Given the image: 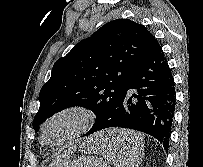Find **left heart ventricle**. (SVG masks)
I'll return each instance as SVG.
<instances>
[{
	"mask_svg": "<svg viewBox=\"0 0 203 167\" xmlns=\"http://www.w3.org/2000/svg\"><path fill=\"white\" fill-rule=\"evenodd\" d=\"M73 121L71 118H63L57 121L50 129L48 137L54 141L63 136L71 127Z\"/></svg>",
	"mask_w": 203,
	"mask_h": 167,
	"instance_id": "1",
	"label": "left heart ventricle"
}]
</instances>
